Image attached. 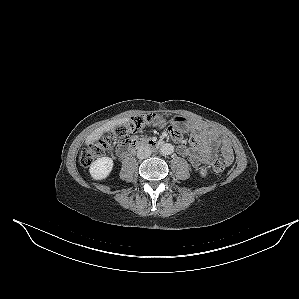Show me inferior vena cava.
<instances>
[{"label":"inferior vena cava","mask_w":299,"mask_h":299,"mask_svg":"<svg viewBox=\"0 0 299 299\" xmlns=\"http://www.w3.org/2000/svg\"><path fill=\"white\" fill-rule=\"evenodd\" d=\"M151 153V148L148 145H142L137 150V157L139 159H146L150 157Z\"/></svg>","instance_id":"obj_1"}]
</instances>
